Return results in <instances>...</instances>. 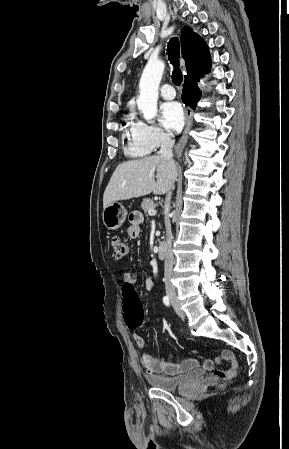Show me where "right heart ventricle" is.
<instances>
[{"label": "right heart ventricle", "instance_id": "1", "mask_svg": "<svg viewBox=\"0 0 289 449\" xmlns=\"http://www.w3.org/2000/svg\"><path fill=\"white\" fill-rule=\"evenodd\" d=\"M134 131L135 123L130 121L125 132V137L127 139L126 152L135 157L145 156L149 153V151L143 145L136 141Z\"/></svg>", "mask_w": 289, "mask_h": 449}]
</instances>
